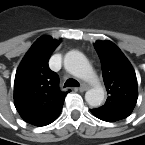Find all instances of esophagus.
I'll use <instances>...</instances> for the list:
<instances>
[{"label": "esophagus", "mask_w": 145, "mask_h": 145, "mask_svg": "<svg viewBox=\"0 0 145 145\" xmlns=\"http://www.w3.org/2000/svg\"><path fill=\"white\" fill-rule=\"evenodd\" d=\"M78 90H79L80 92L87 91V90H88V86L85 85V84H82V85L78 88Z\"/></svg>", "instance_id": "1"}]
</instances>
